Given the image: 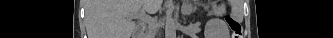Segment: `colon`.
<instances>
[{"instance_id": "1", "label": "colon", "mask_w": 333, "mask_h": 38, "mask_svg": "<svg viewBox=\"0 0 333 38\" xmlns=\"http://www.w3.org/2000/svg\"><path fill=\"white\" fill-rule=\"evenodd\" d=\"M226 22L232 31V38H242L241 23L232 16H226Z\"/></svg>"}]
</instances>
